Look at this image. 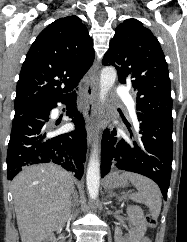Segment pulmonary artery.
I'll list each match as a JSON object with an SVG mask.
<instances>
[{
	"label": "pulmonary artery",
	"instance_id": "obj_1",
	"mask_svg": "<svg viewBox=\"0 0 187 242\" xmlns=\"http://www.w3.org/2000/svg\"><path fill=\"white\" fill-rule=\"evenodd\" d=\"M127 93L126 89L124 87H119L118 89V94L120 96H124ZM130 111L132 113L133 116H135V110H134V104H130Z\"/></svg>",
	"mask_w": 187,
	"mask_h": 242
}]
</instances>
